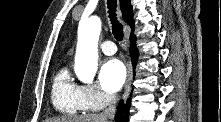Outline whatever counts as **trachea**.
Instances as JSON below:
<instances>
[{
  "label": "trachea",
  "instance_id": "obj_1",
  "mask_svg": "<svg viewBox=\"0 0 221 122\" xmlns=\"http://www.w3.org/2000/svg\"><path fill=\"white\" fill-rule=\"evenodd\" d=\"M108 9H109V17L112 23V33L116 40L121 41L123 40V26L121 23H119L116 19V7L117 3L116 0H108Z\"/></svg>",
  "mask_w": 221,
  "mask_h": 122
}]
</instances>
